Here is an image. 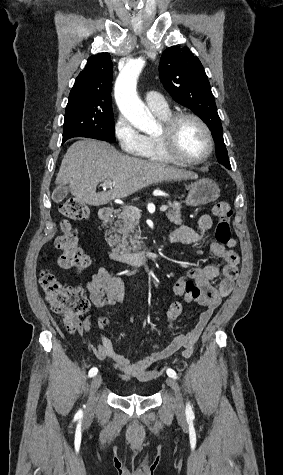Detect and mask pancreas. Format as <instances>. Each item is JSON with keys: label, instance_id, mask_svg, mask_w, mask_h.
I'll list each match as a JSON object with an SVG mask.
<instances>
[{"label": "pancreas", "instance_id": "obj_1", "mask_svg": "<svg viewBox=\"0 0 283 475\" xmlns=\"http://www.w3.org/2000/svg\"><path fill=\"white\" fill-rule=\"evenodd\" d=\"M168 208H171L169 212H166V216L170 222L176 224V226H183L181 220L180 206L177 202H167ZM140 218V214H136L134 206H127L124 210H121L118 214L117 222H114V228H112L113 236L106 238L107 243L112 247L114 253H131L141 247V241L135 226H138L139 222H136Z\"/></svg>", "mask_w": 283, "mask_h": 475}]
</instances>
